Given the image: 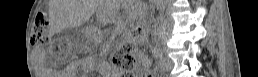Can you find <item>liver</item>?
<instances>
[{"mask_svg": "<svg viewBox=\"0 0 258 77\" xmlns=\"http://www.w3.org/2000/svg\"><path fill=\"white\" fill-rule=\"evenodd\" d=\"M61 21L64 24L74 26L76 24V2L75 0H64L61 8Z\"/></svg>", "mask_w": 258, "mask_h": 77, "instance_id": "6515ba94", "label": "liver"}]
</instances>
